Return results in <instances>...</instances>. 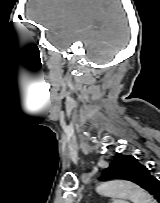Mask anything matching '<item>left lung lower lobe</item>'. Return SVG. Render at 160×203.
Wrapping results in <instances>:
<instances>
[{"label": "left lung lower lobe", "mask_w": 160, "mask_h": 203, "mask_svg": "<svg viewBox=\"0 0 160 203\" xmlns=\"http://www.w3.org/2000/svg\"><path fill=\"white\" fill-rule=\"evenodd\" d=\"M160 178H156L149 189V193L156 200V202L160 203Z\"/></svg>", "instance_id": "left-lung-lower-lobe-1"}]
</instances>
